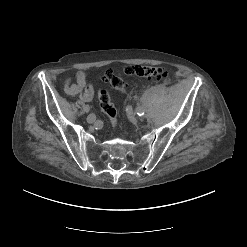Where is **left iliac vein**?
<instances>
[{
    "instance_id": "1",
    "label": "left iliac vein",
    "mask_w": 247,
    "mask_h": 247,
    "mask_svg": "<svg viewBox=\"0 0 247 247\" xmlns=\"http://www.w3.org/2000/svg\"><path fill=\"white\" fill-rule=\"evenodd\" d=\"M128 116H129V119L131 122H133V123L137 122V117H136L135 113L129 112Z\"/></svg>"
}]
</instances>
